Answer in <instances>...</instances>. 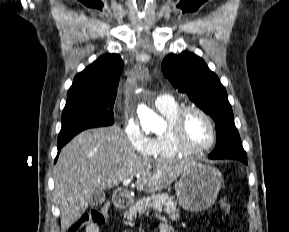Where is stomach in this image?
Listing matches in <instances>:
<instances>
[{
  "label": "stomach",
  "mask_w": 289,
  "mask_h": 232,
  "mask_svg": "<svg viewBox=\"0 0 289 232\" xmlns=\"http://www.w3.org/2000/svg\"><path fill=\"white\" fill-rule=\"evenodd\" d=\"M222 183L219 170L209 165L192 163L177 182V200L188 211H204L214 204Z\"/></svg>",
  "instance_id": "0dacf381"
}]
</instances>
